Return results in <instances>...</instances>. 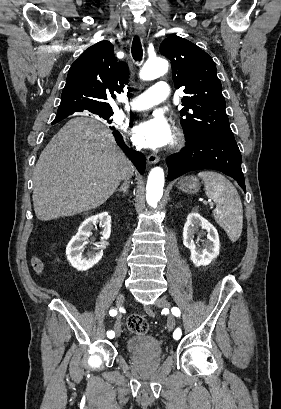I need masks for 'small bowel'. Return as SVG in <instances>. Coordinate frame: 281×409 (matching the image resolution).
<instances>
[{"label": "small bowel", "instance_id": "1", "mask_svg": "<svg viewBox=\"0 0 281 409\" xmlns=\"http://www.w3.org/2000/svg\"><path fill=\"white\" fill-rule=\"evenodd\" d=\"M33 266L36 274H41L44 268L43 262L39 259L33 260Z\"/></svg>", "mask_w": 281, "mask_h": 409}]
</instances>
